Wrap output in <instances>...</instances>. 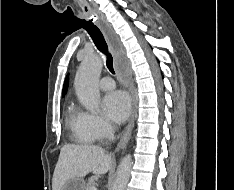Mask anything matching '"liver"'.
<instances>
[{"label":"liver","mask_w":234,"mask_h":190,"mask_svg":"<svg viewBox=\"0 0 234 190\" xmlns=\"http://www.w3.org/2000/svg\"><path fill=\"white\" fill-rule=\"evenodd\" d=\"M112 166V157L95 145L66 144L60 150L56 164L52 190H61L72 178L85 177L93 172L96 175L107 173Z\"/></svg>","instance_id":"6515ba94"}]
</instances>
